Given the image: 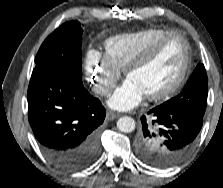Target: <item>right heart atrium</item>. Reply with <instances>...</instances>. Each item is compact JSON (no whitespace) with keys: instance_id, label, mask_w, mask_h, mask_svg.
Here are the masks:
<instances>
[{"instance_id":"d8ad5b80","label":"right heart atrium","mask_w":223,"mask_h":188,"mask_svg":"<svg viewBox=\"0 0 223 188\" xmlns=\"http://www.w3.org/2000/svg\"><path fill=\"white\" fill-rule=\"evenodd\" d=\"M85 75L92 90L99 96L109 94L120 77L118 68L103 52L88 51L84 63Z\"/></svg>"}]
</instances>
